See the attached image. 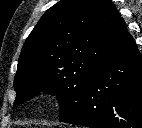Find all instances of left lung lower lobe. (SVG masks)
<instances>
[{
  "label": "left lung lower lobe",
  "mask_w": 142,
  "mask_h": 128,
  "mask_svg": "<svg viewBox=\"0 0 142 128\" xmlns=\"http://www.w3.org/2000/svg\"><path fill=\"white\" fill-rule=\"evenodd\" d=\"M60 121L90 128H142V57L133 38L92 76L73 112Z\"/></svg>",
  "instance_id": "obj_1"
}]
</instances>
